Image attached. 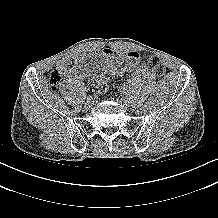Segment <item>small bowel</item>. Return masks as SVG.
<instances>
[{
	"label": "small bowel",
	"instance_id": "small-bowel-1",
	"mask_svg": "<svg viewBox=\"0 0 218 218\" xmlns=\"http://www.w3.org/2000/svg\"><path fill=\"white\" fill-rule=\"evenodd\" d=\"M133 53L136 52L106 48L93 52L91 56L100 59L101 66L109 69L125 64L129 56ZM56 66L62 74L74 73L76 75L87 76L91 79L87 68V55L85 54L74 52L59 60Z\"/></svg>",
	"mask_w": 218,
	"mask_h": 218
}]
</instances>
